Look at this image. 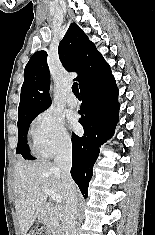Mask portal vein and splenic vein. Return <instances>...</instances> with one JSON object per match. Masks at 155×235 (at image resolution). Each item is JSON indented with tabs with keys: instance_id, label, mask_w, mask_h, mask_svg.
I'll use <instances>...</instances> for the list:
<instances>
[{
	"instance_id": "obj_1",
	"label": "portal vein and splenic vein",
	"mask_w": 155,
	"mask_h": 235,
	"mask_svg": "<svg viewBox=\"0 0 155 235\" xmlns=\"http://www.w3.org/2000/svg\"><path fill=\"white\" fill-rule=\"evenodd\" d=\"M43 190L52 198L53 201L61 203L62 197L59 194L55 193L52 189L45 186L43 187Z\"/></svg>"
}]
</instances>
